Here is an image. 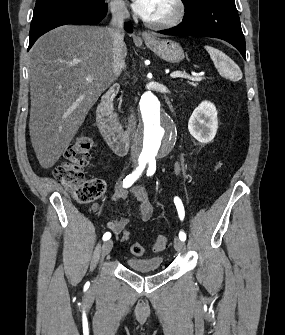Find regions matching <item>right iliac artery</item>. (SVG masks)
<instances>
[{
	"label": "right iliac artery",
	"instance_id": "82829eb1",
	"mask_svg": "<svg viewBox=\"0 0 285 335\" xmlns=\"http://www.w3.org/2000/svg\"><path fill=\"white\" fill-rule=\"evenodd\" d=\"M146 165V161L143 163H139V166L136 168V170L134 172H132V174L128 175L124 180H123V187L124 188H128L130 187L142 174L144 168ZM111 237V233L110 232H106L103 235V240L106 241L108 239H110Z\"/></svg>",
	"mask_w": 285,
	"mask_h": 335
}]
</instances>
